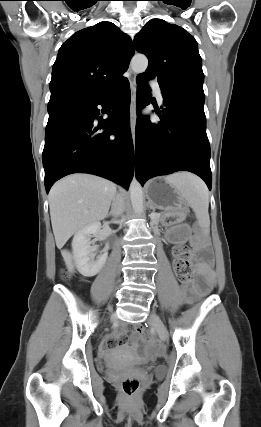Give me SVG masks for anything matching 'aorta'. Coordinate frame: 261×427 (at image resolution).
Listing matches in <instances>:
<instances>
[{
	"label": "aorta",
	"mask_w": 261,
	"mask_h": 427,
	"mask_svg": "<svg viewBox=\"0 0 261 427\" xmlns=\"http://www.w3.org/2000/svg\"><path fill=\"white\" fill-rule=\"evenodd\" d=\"M148 67V59L143 54H136L131 60L133 72L144 73ZM130 199L134 212L138 215L143 213V190L140 182L134 177L130 183Z\"/></svg>",
	"instance_id": "obj_1"
}]
</instances>
